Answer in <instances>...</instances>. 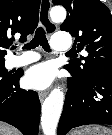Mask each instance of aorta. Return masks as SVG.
I'll list each match as a JSON object with an SVG mask.
<instances>
[{
  "label": "aorta",
  "mask_w": 112,
  "mask_h": 135,
  "mask_svg": "<svg viewBox=\"0 0 112 135\" xmlns=\"http://www.w3.org/2000/svg\"><path fill=\"white\" fill-rule=\"evenodd\" d=\"M50 16L53 22L59 23L65 20L66 11L62 7H55L51 10ZM63 104V92L59 88L53 89L42 106L41 126L44 135H56Z\"/></svg>",
  "instance_id": "aorta-1"
}]
</instances>
